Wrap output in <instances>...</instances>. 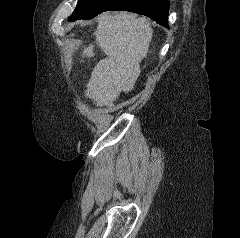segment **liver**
Masks as SVG:
<instances>
[{
	"instance_id": "1",
	"label": "liver",
	"mask_w": 240,
	"mask_h": 238,
	"mask_svg": "<svg viewBox=\"0 0 240 238\" xmlns=\"http://www.w3.org/2000/svg\"><path fill=\"white\" fill-rule=\"evenodd\" d=\"M96 44L107 56L94 67L85 96L98 106H113L120 92H130L140 75V61L146 57L152 29L145 18L121 12H104L97 17ZM89 45L82 56H94Z\"/></svg>"
}]
</instances>
